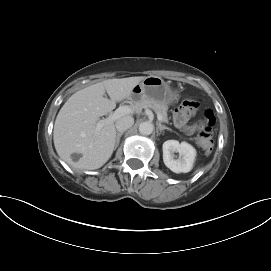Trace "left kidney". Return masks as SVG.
<instances>
[{"label":"left kidney","instance_id":"obj_1","mask_svg":"<svg viewBox=\"0 0 271 271\" xmlns=\"http://www.w3.org/2000/svg\"><path fill=\"white\" fill-rule=\"evenodd\" d=\"M164 164L175 173H187L193 168L196 150L187 142L179 143L176 140H167L163 143ZM179 153L178 159L175 154Z\"/></svg>","mask_w":271,"mask_h":271}]
</instances>
